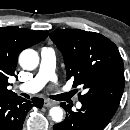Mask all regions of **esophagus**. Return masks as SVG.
I'll use <instances>...</instances> for the list:
<instances>
[{"mask_svg": "<svg viewBox=\"0 0 130 130\" xmlns=\"http://www.w3.org/2000/svg\"><path fill=\"white\" fill-rule=\"evenodd\" d=\"M56 104H57V102H55V101H51V100H45L44 101V106L45 107H52V106H54Z\"/></svg>", "mask_w": 130, "mask_h": 130, "instance_id": "34e87169", "label": "esophagus"}]
</instances>
